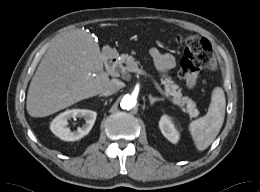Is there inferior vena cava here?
Wrapping results in <instances>:
<instances>
[{
  "instance_id": "602c4592",
  "label": "inferior vena cava",
  "mask_w": 260,
  "mask_h": 192,
  "mask_svg": "<svg viewBox=\"0 0 260 192\" xmlns=\"http://www.w3.org/2000/svg\"><path fill=\"white\" fill-rule=\"evenodd\" d=\"M124 83L118 79H111L108 87L101 93L103 95H111L119 91L123 87Z\"/></svg>"
}]
</instances>
